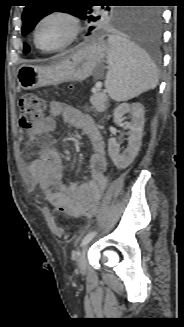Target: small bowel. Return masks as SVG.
Returning <instances> with one entry per match:
<instances>
[{
  "label": "small bowel",
  "instance_id": "obj_1",
  "mask_svg": "<svg viewBox=\"0 0 184 327\" xmlns=\"http://www.w3.org/2000/svg\"><path fill=\"white\" fill-rule=\"evenodd\" d=\"M80 129L89 139L93 153L90 158V179L86 182H71L64 178L59 152L42 147L40 156L30 162L29 174L35 187L43 191L52 206H63V213L78 217L86 213V206H95L107 184V159L103 137L92 118L82 114L61 100L50 102V115L45 117L33 130L32 141L56 129V117ZM80 159H70L72 170L80 166Z\"/></svg>",
  "mask_w": 184,
  "mask_h": 327
}]
</instances>
